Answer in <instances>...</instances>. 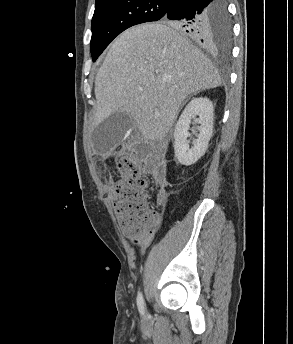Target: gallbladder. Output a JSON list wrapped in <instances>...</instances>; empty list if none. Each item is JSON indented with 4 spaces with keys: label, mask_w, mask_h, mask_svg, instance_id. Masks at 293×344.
Segmentation results:
<instances>
[{
    "label": "gallbladder",
    "mask_w": 293,
    "mask_h": 344,
    "mask_svg": "<svg viewBox=\"0 0 293 344\" xmlns=\"http://www.w3.org/2000/svg\"><path fill=\"white\" fill-rule=\"evenodd\" d=\"M134 124L133 117L125 112H115L99 123L92 133V144L99 154L110 152L122 141Z\"/></svg>",
    "instance_id": "1"
}]
</instances>
